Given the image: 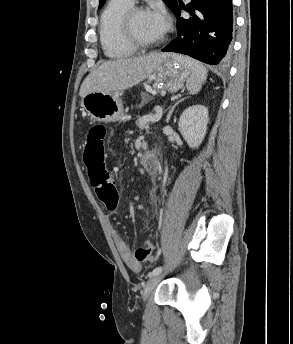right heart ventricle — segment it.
Masks as SVG:
<instances>
[{"label":"right heart ventricle","instance_id":"obj_1","mask_svg":"<svg viewBox=\"0 0 293 344\" xmlns=\"http://www.w3.org/2000/svg\"><path fill=\"white\" fill-rule=\"evenodd\" d=\"M133 3L125 0H109L100 14L99 39L104 54L111 59L133 56L137 49L128 44L120 33V19Z\"/></svg>","mask_w":293,"mask_h":344}]
</instances>
